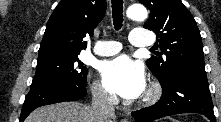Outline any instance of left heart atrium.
Instances as JSON below:
<instances>
[{
    "instance_id": "left-heart-atrium-1",
    "label": "left heart atrium",
    "mask_w": 221,
    "mask_h": 122,
    "mask_svg": "<svg viewBox=\"0 0 221 122\" xmlns=\"http://www.w3.org/2000/svg\"><path fill=\"white\" fill-rule=\"evenodd\" d=\"M100 73L104 87L125 99H136L145 90L142 65L126 55L103 62Z\"/></svg>"
}]
</instances>
